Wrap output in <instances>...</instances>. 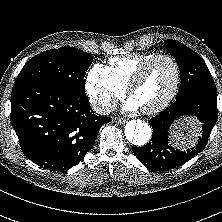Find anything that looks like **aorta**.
Returning <instances> with one entry per match:
<instances>
[{
	"mask_svg": "<svg viewBox=\"0 0 222 222\" xmlns=\"http://www.w3.org/2000/svg\"><path fill=\"white\" fill-rule=\"evenodd\" d=\"M152 131L148 123L142 120H131L124 128V138L130 145L142 147L151 139Z\"/></svg>",
	"mask_w": 222,
	"mask_h": 222,
	"instance_id": "1",
	"label": "aorta"
}]
</instances>
